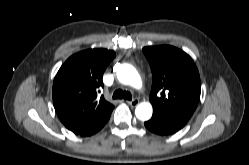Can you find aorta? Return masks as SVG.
I'll return each mask as SVG.
<instances>
[{"label": "aorta", "instance_id": "1", "mask_svg": "<svg viewBox=\"0 0 249 165\" xmlns=\"http://www.w3.org/2000/svg\"><path fill=\"white\" fill-rule=\"evenodd\" d=\"M118 80L126 85H131L134 88L142 86V80L136 69L130 65H123L117 70ZM153 113L152 105L148 102L140 103L135 109V115L139 120L147 121Z\"/></svg>", "mask_w": 249, "mask_h": 165}]
</instances>
